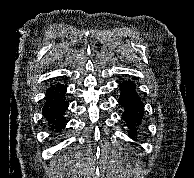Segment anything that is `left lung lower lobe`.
I'll list each match as a JSON object with an SVG mask.
<instances>
[{"mask_svg": "<svg viewBox=\"0 0 194 178\" xmlns=\"http://www.w3.org/2000/svg\"><path fill=\"white\" fill-rule=\"evenodd\" d=\"M119 104L124 108L122 119L126 122L131 138H137L144 119V104L136 91V85L128 80L120 83Z\"/></svg>", "mask_w": 194, "mask_h": 178, "instance_id": "left-lung-lower-lobe-1", "label": "left lung lower lobe"}]
</instances>
